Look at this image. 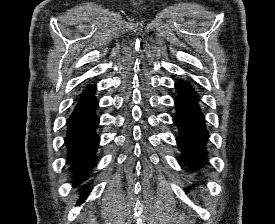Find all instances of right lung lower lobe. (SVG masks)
I'll return each mask as SVG.
<instances>
[{
  "label": "right lung lower lobe",
  "mask_w": 275,
  "mask_h": 224,
  "mask_svg": "<svg viewBox=\"0 0 275 224\" xmlns=\"http://www.w3.org/2000/svg\"><path fill=\"white\" fill-rule=\"evenodd\" d=\"M95 91V85L84 90L67 122L65 145L70 171L74 174L76 186H80L86 180L95 166V154L100 142L96 134L99 118L96 115L98 102L93 96ZM87 195L86 191L81 194L78 205Z\"/></svg>",
  "instance_id": "1"
}]
</instances>
